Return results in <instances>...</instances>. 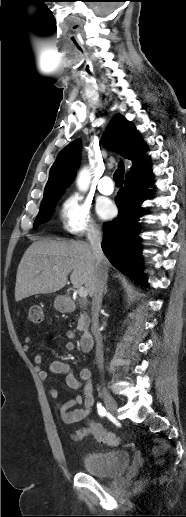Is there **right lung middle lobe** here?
<instances>
[{"mask_svg": "<svg viewBox=\"0 0 186 517\" xmlns=\"http://www.w3.org/2000/svg\"><path fill=\"white\" fill-rule=\"evenodd\" d=\"M59 196L60 194H52L42 200L39 213L34 222V228L37 225L46 222L50 218L52 210L55 206V202L59 198Z\"/></svg>", "mask_w": 186, "mask_h": 517, "instance_id": "dd1d6c3e", "label": "right lung middle lobe"}]
</instances>
